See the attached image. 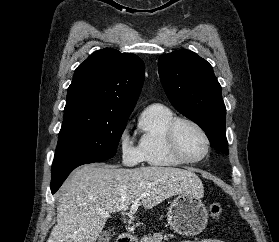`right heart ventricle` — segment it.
I'll return each mask as SVG.
<instances>
[{"label": "right heart ventricle", "instance_id": "e07e8e85", "mask_svg": "<svg viewBox=\"0 0 279 242\" xmlns=\"http://www.w3.org/2000/svg\"><path fill=\"white\" fill-rule=\"evenodd\" d=\"M175 118L170 108L160 104L148 106L141 114L138 146L148 165L174 167L182 164L172 155L166 141L167 128Z\"/></svg>", "mask_w": 279, "mask_h": 242}]
</instances>
